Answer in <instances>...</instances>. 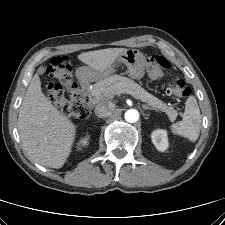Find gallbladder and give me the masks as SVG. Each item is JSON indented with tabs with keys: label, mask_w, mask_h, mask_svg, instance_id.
I'll list each match as a JSON object with an SVG mask.
<instances>
[{
	"label": "gallbladder",
	"mask_w": 225,
	"mask_h": 225,
	"mask_svg": "<svg viewBox=\"0 0 225 225\" xmlns=\"http://www.w3.org/2000/svg\"><path fill=\"white\" fill-rule=\"evenodd\" d=\"M38 73H39V74H44V68L40 67V68L38 69Z\"/></svg>",
	"instance_id": "obj_1"
}]
</instances>
